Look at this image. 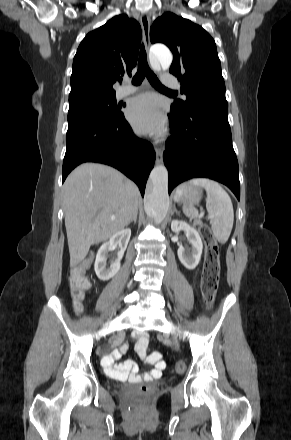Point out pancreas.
<instances>
[{"label":"pancreas","instance_id":"pancreas-1","mask_svg":"<svg viewBox=\"0 0 291 440\" xmlns=\"http://www.w3.org/2000/svg\"><path fill=\"white\" fill-rule=\"evenodd\" d=\"M193 225L194 226H202L203 225V223H202V221L201 220H195L194 222H193Z\"/></svg>","mask_w":291,"mask_h":440}]
</instances>
